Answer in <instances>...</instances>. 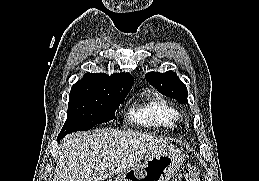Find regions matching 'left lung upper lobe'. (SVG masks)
Instances as JSON below:
<instances>
[{
  "label": "left lung upper lobe",
  "mask_w": 259,
  "mask_h": 181,
  "mask_svg": "<svg viewBox=\"0 0 259 181\" xmlns=\"http://www.w3.org/2000/svg\"><path fill=\"white\" fill-rule=\"evenodd\" d=\"M146 80L162 94L176 99L179 103L187 102V88L173 71L165 73L149 72L145 75Z\"/></svg>",
  "instance_id": "1"
}]
</instances>
